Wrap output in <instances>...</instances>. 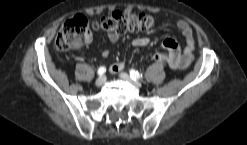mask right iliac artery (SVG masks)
Listing matches in <instances>:
<instances>
[{
  "label": "right iliac artery",
  "instance_id": "obj_1",
  "mask_svg": "<svg viewBox=\"0 0 247 145\" xmlns=\"http://www.w3.org/2000/svg\"><path fill=\"white\" fill-rule=\"evenodd\" d=\"M105 72H106V68L105 67H100L98 69V75H100V76H102Z\"/></svg>",
  "mask_w": 247,
  "mask_h": 145
}]
</instances>
